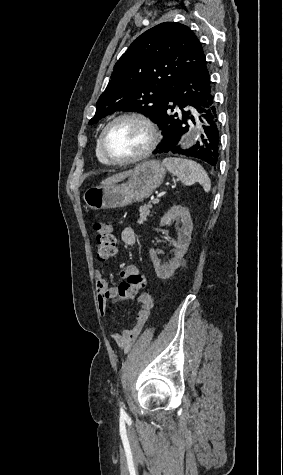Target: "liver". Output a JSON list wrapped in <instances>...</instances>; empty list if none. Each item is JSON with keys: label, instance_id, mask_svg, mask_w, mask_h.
Segmentation results:
<instances>
[{"label": "liver", "instance_id": "6515ba94", "mask_svg": "<svg viewBox=\"0 0 283 475\" xmlns=\"http://www.w3.org/2000/svg\"><path fill=\"white\" fill-rule=\"evenodd\" d=\"M132 170H129V172H122V174H115V176H110V178H106V180H103L101 182V186H110V184H118V182H122V180H125L127 176H130Z\"/></svg>", "mask_w": 283, "mask_h": 475}]
</instances>
